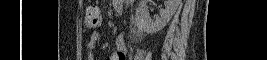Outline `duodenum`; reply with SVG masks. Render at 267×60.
<instances>
[{
	"instance_id": "410a0bca",
	"label": "duodenum",
	"mask_w": 267,
	"mask_h": 60,
	"mask_svg": "<svg viewBox=\"0 0 267 60\" xmlns=\"http://www.w3.org/2000/svg\"><path fill=\"white\" fill-rule=\"evenodd\" d=\"M120 10H121V9H119V8L117 9V11H120Z\"/></svg>"
}]
</instances>
